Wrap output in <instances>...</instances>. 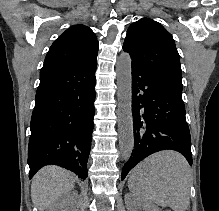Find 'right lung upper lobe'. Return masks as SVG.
Instances as JSON below:
<instances>
[{
	"label": "right lung upper lobe",
	"mask_w": 219,
	"mask_h": 211,
	"mask_svg": "<svg viewBox=\"0 0 219 211\" xmlns=\"http://www.w3.org/2000/svg\"><path fill=\"white\" fill-rule=\"evenodd\" d=\"M98 41L93 31L84 25L66 30L50 47L44 67L87 66L96 61Z\"/></svg>",
	"instance_id": "right-lung-upper-lobe-1"
}]
</instances>
